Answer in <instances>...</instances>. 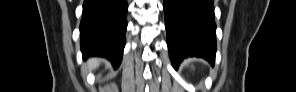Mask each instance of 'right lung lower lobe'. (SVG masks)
<instances>
[{
	"instance_id": "1",
	"label": "right lung lower lobe",
	"mask_w": 296,
	"mask_h": 92,
	"mask_svg": "<svg viewBox=\"0 0 296 92\" xmlns=\"http://www.w3.org/2000/svg\"><path fill=\"white\" fill-rule=\"evenodd\" d=\"M126 0H84L80 44L84 58L101 56L118 67L125 46Z\"/></svg>"
}]
</instances>
